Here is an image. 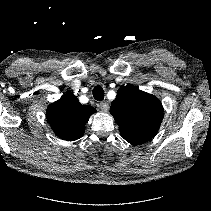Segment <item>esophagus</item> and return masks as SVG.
Listing matches in <instances>:
<instances>
[{"mask_svg": "<svg viewBox=\"0 0 211 211\" xmlns=\"http://www.w3.org/2000/svg\"><path fill=\"white\" fill-rule=\"evenodd\" d=\"M99 107L102 109V111L107 112L109 110V103L107 101L101 102Z\"/></svg>", "mask_w": 211, "mask_h": 211, "instance_id": "1", "label": "esophagus"}]
</instances>
